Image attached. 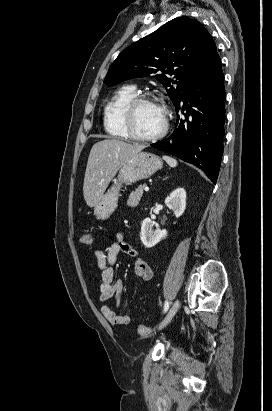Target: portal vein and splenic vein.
I'll list each match as a JSON object with an SVG mask.
<instances>
[{
	"label": "portal vein and splenic vein",
	"instance_id": "portal-vein-and-splenic-vein-1",
	"mask_svg": "<svg viewBox=\"0 0 272 411\" xmlns=\"http://www.w3.org/2000/svg\"><path fill=\"white\" fill-rule=\"evenodd\" d=\"M144 190H145V191H149V187H148V186H145Z\"/></svg>",
	"mask_w": 272,
	"mask_h": 411
}]
</instances>
